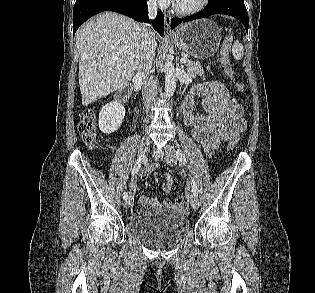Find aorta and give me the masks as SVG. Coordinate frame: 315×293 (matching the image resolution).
<instances>
[{"instance_id":"aorta-1","label":"aorta","mask_w":315,"mask_h":293,"mask_svg":"<svg viewBox=\"0 0 315 293\" xmlns=\"http://www.w3.org/2000/svg\"><path fill=\"white\" fill-rule=\"evenodd\" d=\"M165 72V93L166 96L171 97L176 89L175 67L172 57L168 56L164 65Z\"/></svg>"}]
</instances>
